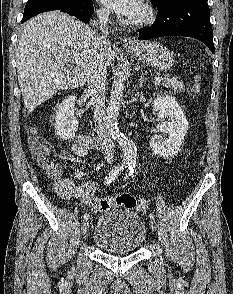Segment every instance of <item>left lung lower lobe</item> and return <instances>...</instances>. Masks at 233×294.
Segmentation results:
<instances>
[{"instance_id":"1","label":"left lung lower lobe","mask_w":233,"mask_h":294,"mask_svg":"<svg viewBox=\"0 0 233 294\" xmlns=\"http://www.w3.org/2000/svg\"><path fill=\"white\" fill-rule=\"evenodd\" d=\"M158 14L148 28L139 30L141 40L163 36H188L215 52L207 0H163L155 4Z\"/></svg>"}]
</instances>
